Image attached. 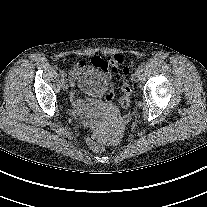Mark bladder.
Returning a JSON list of instances; mask_svg holds the SVG:
<instances>
[{
	"label": "bladder",
	"mask_w": 207,
	"mask_h": 207,
	"mask_svg": "<svg viewBox=\"0 0 207 207\" xmlns=\"http://www.w3.org/2000/svg\"><path fill=\"white\" fill-rule=\"evenodd\" d=\"M79 90L90 96L102 95L107 87V77L103 68L97 64L87 67L77 79Z\"/></svg>",
	"instance_id": "31cf9c89"
}]
</instances>
